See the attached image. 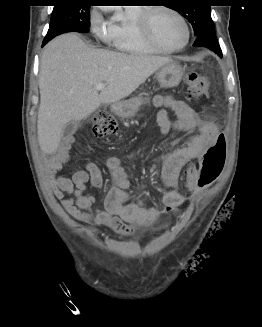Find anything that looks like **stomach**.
Wrapping results in <instances>:
<instances>
[{
	"label": "stomach",
	"instance_id": "1",
	"mask_svg": "<svg viewBox=\"0 0 262 327\" xmlns=\"http://www.w3.org/2000/svg\"><path fill=\"white\" fill-rule=\"evenodd\" d=\"M184 69L176 62H170L162 66L157 74L156 78L161 87H175L182 80ZM147 99L142 97H134L129 100L119 101L111 105L112 112L121 118L133 117L139 107L146 103Z\"/></svg>",
	"mask_w": 262,
	"mask_h": 327
}]
</instances>
